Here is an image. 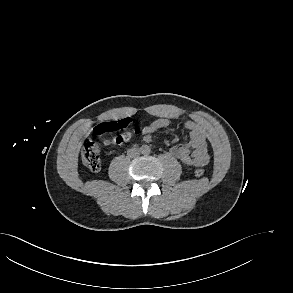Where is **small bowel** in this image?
Instances as JSON below:
<instances>
[{
    "label": "small bowel",
    "instance_id": "c3829d8e",
    "mask_svg": "<svg viewBox=\"0 0 293 293\" xmlns=\"http://www.w3.org/2000/svg\"><path fill=\"white\" fill-rule=\"evenodd\" d=\"M170 121L166 118H159L147 125L144 129L146 134L154 133L159 129L166 128ZM185 128L188 130V137L185 142L171 148L172 156L180 160L185 165L202 167L209 163L208 143L206 131L203 126L194 122L186 121Z\"/></svg>",
    "mask_w": 293,
    "mask_h": 293
}]
</instances>
